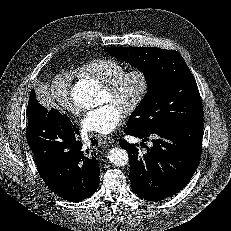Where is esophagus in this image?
Returning a JSON list of instances; mask_svg holds the SVG:
<instances>
[{"label":"esophagus","mask_w":231,"mask_h":231,"mask_svg":"<svg viewBox=\"0 0 231 231\" xmlns=\"http://www.w3.org/2000/svg\"><path fill=\"white\" fill-rule=\"evenodd\" d=\"M101 143L104 145H110L114 143V139L106 136L103 139H101Z\"/></svg>","instance_id":"1"}]
</instances>
